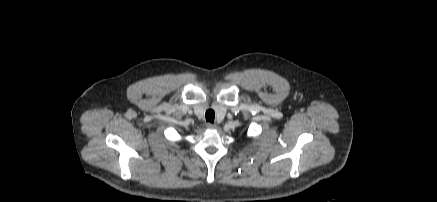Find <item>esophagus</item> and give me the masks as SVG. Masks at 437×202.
Instances as JSON below:
<instances>
[{
	"instance_id": "34e87169",
	"label": "esophagus",
	"mask_w": 437,
	"mask_h": 202,
	"mask_svg": "<svg viewBox=\"0 0 437 202\" xmlns=\"http://www.w3.org/2000/svg\"><path fill=\"white\" fill-rule=\"evenodd\" d=\"M206 128H207V129H215V128H216V125H215V124H212V123H207V124H206Z\"/></svg>"
}]
</instances>
